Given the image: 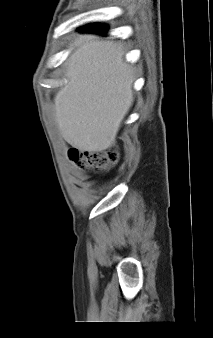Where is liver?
<instances>
[{"label":"liver","mask_w":213,"mask_h":338,"mask_svg":"<svg viewBox=\"0 0 213 338\" xmlns=\"http://www.w3.org/2000/svg\"><path fill=\"white\" fill-rule=\"evenodd\" d=\"M70 47L67 83L54 98L55 120L70 145L101 152L115 143L133 104V69L113 41L80 35Z\"/></svg>","instance_id":"1"}]
</instances>
